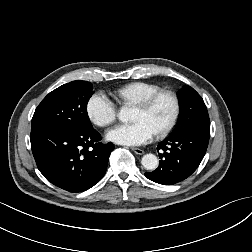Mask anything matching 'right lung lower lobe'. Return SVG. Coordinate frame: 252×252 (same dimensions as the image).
Listing matches in <instances>:
<instances>
[{
    "mask_svg": "<svg viewBox=\"0 0 252 252\" xmlns=\"http://www.w3.org/2000/svg\"><path fill=\"white\" fill-rule=\"evenodd\" d=\"M95 129L31 132V149L38 169L55 186L82 192L104 176L112 143H100Z\"/></svg>",
    "mask_w": 252,
    "mask_h": 252,
    "instance_id": "1",
    "label": "right lung lower lobe"
}]
</instances>
